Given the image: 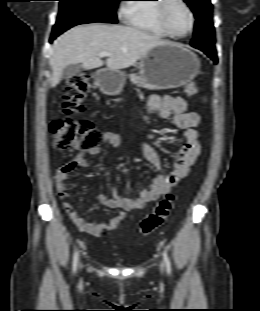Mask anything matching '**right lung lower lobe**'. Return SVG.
Returning a JSON list of instances; mask_svg holds the SVG:
<instances>
[{
	"instance_id": "right-lung-lower-lobe-1",
	"label": "right lung lower lobe",
	"mask_w": 260,
	"mask_h": 311,
	"mask_svg": "<svg viewBox=\"0 0 260 311\" xmlns=\"http://www.w3.org/2000/svg\"><path fill=\"white\" fill-rule=\"evenodd\" d=\"M75 25H78V24H63L61 26H54L53 27V31H52V35H51V38H50V42H52L58 35H60L61 33H63L64 31H66L67 29L75 26Z\"/></svg>"
}]
</instances>
